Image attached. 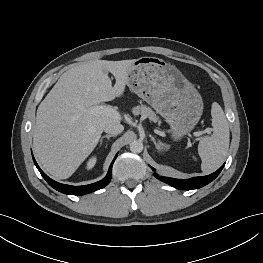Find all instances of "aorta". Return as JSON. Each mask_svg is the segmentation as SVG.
I'll use <instances>...</instances> for the list:
<instances>
[{
  "mask_svg": "<svg viewBox=\"0 0 263 263\" xmlns=\"http://www.w3.org/2000/svg\"><path fill=\"white\" fill-rule=\"evenodd\" d=\"M130 150L133 153H140L143 150V143L140 140H134L130 143Z\"/></svg>",
  "mask_w": 263,
  "mask_h": 263,
  "instance_id": "obj_1",
  "label": "aorta"
}]
</instances>
